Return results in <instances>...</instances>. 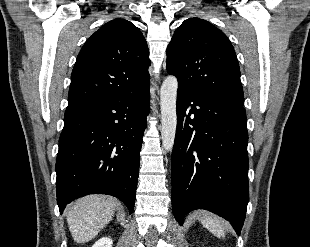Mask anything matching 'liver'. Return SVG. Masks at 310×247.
Masks as SVG:
<instances>
[{"mask_svg":"<svg viewBox=\"0 0 310 247\" xmlns=\"http://www.w3.org/2000/svg\"><path fill=\"white\" fill-rule=\"evenodd\" d=\"M116 200L109 196L89 195L76 200L68 209L67 222L75 242L93 239L113 218Z\"/></svg>","mask_w":310,"mask_h":247,"instance_id":"6515ba94","label":"liver"}]
</instances>
